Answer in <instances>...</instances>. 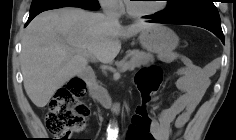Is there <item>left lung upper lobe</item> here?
Wrapping results in <instances>:
<instances>
[{
  "label": "left lung upper lobe",
  "instance_id": "left-lung-upper-lobe-1",
  "mask_svg": "<svg viewBox=\"0 0 236 140\" xmlns=\"http://www.w3.org/2000/svg\"><path fill=\"white\" fill-rule=\"evenodd\" d=\"M158 14L168 19L201 20L221 24L213 0H169L167 8Z\"/></svg>",
  "mask_w": 236,
  "mask_h": 140
}]
</instances>
